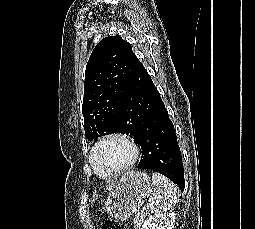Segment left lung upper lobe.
<instances>
[{
  "label": "left lung upper lobe",
  "mask_w": 255,
  "mask_h": 229,
  "mask_svg": "<svg viewBox=\"0 0 255 229\" xmlns=\"http://www.w3.org/2000/svg\"><path fill=\"white\" fill-rule=\"evenodd\" d=\"M139 64L131 45L120 36H108L96 45L86 66L82 105L88 140L111 133L130 134L119 116ZM130 136L135 141V135Z\"/></svg>",
  "instance_id": "1"
}]
</instances>
